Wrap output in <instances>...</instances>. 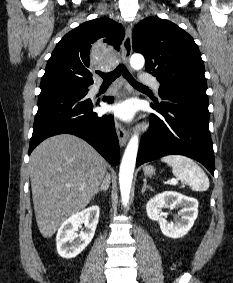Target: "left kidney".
Here are the masks:
<instances>
[{"label": "left kidney", "instance_id": "obj_1", "mask_svg": "<svg viewBox=\"0 0 233 283\" xmlns=\"http://www.w3.org/2000/svg\"><path fill=\"white\" fill-rule=\"evenodd\" d=\"M163 207H180V217L175 218L173 222L167 221L160 215ZM146 212L151 220L159 222L160 229L165 236L180 238L189 232L197 218L198 201L178 192L166 191L147 202Z\"/></svg>", "mask_w": 233, "mask_h": 283}]
</instances>
